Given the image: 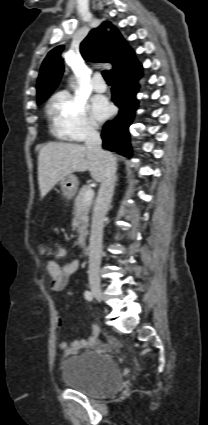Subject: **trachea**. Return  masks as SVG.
I'll list each match as a JSON object with an SVG mask.
<instances>
[{
	"instance_id": "1",
	"label": "trachea",
	"mask_w": 208,
	"mask_h": 425,
	"mask_svg": "<svg viewBox=\"0 0 208 425\" xmlns=\"http://www.w3.org/2000/svg\"><path fill=\"white\" fill-rule=\"evenodd\" d=\"M102 75H103V77H104L105 81H107V82H111V78H110V76H109V74H108V72H107V71H103V72H102Z\"/></svg>"
}]
</instances>
